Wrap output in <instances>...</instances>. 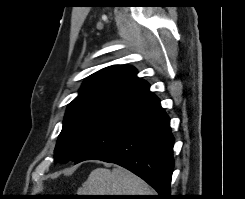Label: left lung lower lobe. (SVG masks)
Here are the masks:
<instances>
[{"mask_svg": "<svg viewBox=\"0 0 245 199\" xmlns=\"http://www.w3.org/2000/svg\"><path fill=\"white\" fill-rule=\"evenodd\" d=\"M160 100L148 90L112 118L75 161L101 160L123 166L168 199L174 167V137Z\"/></svg>", "mask_w": 245, "mask_h": 199, "instance_id": "obj_1", "label": "left lung lower lobe"}]
</instances>
